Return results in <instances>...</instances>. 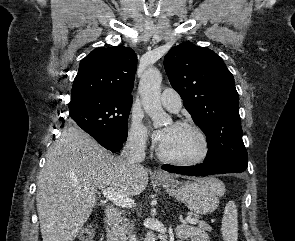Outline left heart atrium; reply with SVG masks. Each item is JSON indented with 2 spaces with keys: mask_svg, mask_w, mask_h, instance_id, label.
Returning <instances> with one entry per match:
<instances>
[{
  "mask_svg": "<svg viewBox=\"0 0 295 241\" xmlns=\"http://www.w3.org/2000/svg\"><path fill=\"white\" fill-rule=\"evenodd\" d=\"M170 135V131L168 129H164L155 133L156 140L160 143V145L164 144Z\"/></svg>",
  "mask_w": 295,
  "mask_h": 241,
  "instance_id": "obj_1",
  "label": "left heart atrium"
}]
</instances>
